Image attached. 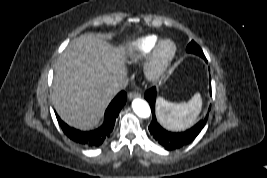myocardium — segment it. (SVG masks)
<instances>
[{
	"instance_id": "1",
	"label": "myocardium",
	"mask_w": 267,
	"mask_h": 178,
	"mask_svg": "<svg viewBox=\"0 0 267 178\" xmlns=\"http://www.w3.org/2000/svg\"><path fill=\"white\" fill-rule=\"evenodd\" d=\"M166 44L171 45V51L169 54L163 53V48ZM177 55L178 47L174 41L167 38L160 40L145 63V77L151 82L160 81L170 69Z\"/></svg>"
}]
</instances>
